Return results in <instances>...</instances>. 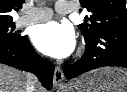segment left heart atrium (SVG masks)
<instances>
[{
	"label": "left heart atrium",
	"mask_w": 127,
	"mask_h": 92,
	"mask_svg": "<svg viewBox=\"0 0 127 92\" xmlns=\"http://www.w3.org/2000/svg\"><path fill=\"white\" fill-rule=\"evenodd\" d=\"M32 40L38 50L54 58H65L75 48L72 27L56 21L37 26L33 31Z\"/></svg>",
	"instance_id": "1"
}]
</instances>
